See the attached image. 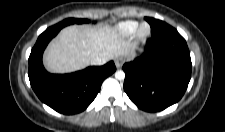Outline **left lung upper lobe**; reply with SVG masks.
Listing matches in <instances>:
<instances>
[{"mask_svg": "<svg viewBox=\"0 0 225 132\" xmlns=\"http://www.w3.org/2000/svg\"><path fill=\"white\" fill-rule=\"evenodd\" d=\"M173 31H176V29H174L173 27L169 26L168 24H166L163 21H162V25L161 26H151V34L153 36L162 35V34L170 33V32H173Z\"/></svg>", "mask_w": 225, "mask_h": 132, "instance_id": "obj_1", "label": "left lung upper lobe"}]
</instances>
